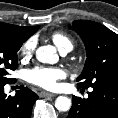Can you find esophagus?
Here are the masks:
<instances>
[{
    "mask_svg": "<svg viewBox=\"0 0 118 118\" xmlns=\"http://www.w3.org/2000/svg\"><path fill=\"white\" fill-rule=\"evenodd\" d=\"M40 96L41 97H55L56 94L50 93V92H46V91H42V92H40Z\"/></svg>",
    "mask_w": 118,
    "mask_h": 118,
    "instance_id": "34e87169",
    "label": "esophagus"
}]
</instances>
